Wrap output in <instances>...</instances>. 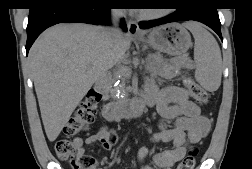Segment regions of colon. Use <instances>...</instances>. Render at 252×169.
Returning <instances> with one entry per match:
<instances>
[{
  "mask_svg": "<svg viewBox=\"0 0 252 169\" xmlns=\"http://www.w3.org/2000/svg\"><path fill=\"white\" fill-rule=\"evenodd\" d=\"M184 85L196 103L200 105L207 103V92L194 80L186 78ZM100 97V93L94 89L87 92L64 128L65 137L58 139L55 143L54 150L57 157L68 162L73 169H89L94 163L92 157L82 153V140L76 135L85 131L93 123ZM116 139L115 132L111 131L109 141L114 144ZM196 155L197 150H191L178 164L177 169H193Z\"/></svg>",
  "mask_w": 252,
  "mask_h": 169,
  "instance_id": "1",
  "label": "colon"
}]
</instances>
